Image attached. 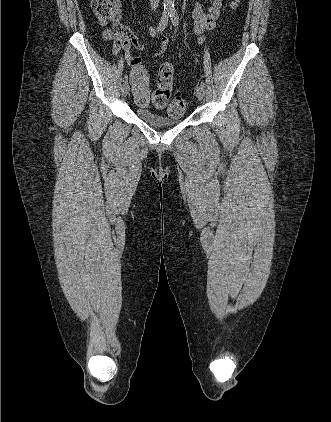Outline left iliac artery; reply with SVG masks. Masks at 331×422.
<instances>
[{
  "instance_id": "44dca946",
  "label": "left iliac artery",
  "mask_w": 331,
  "mask_h": 422,
  "mask_svg": "<svg viewBox=\"0 0 331 422\" xmlns=\"http://www.w3.org/2000/svg\"><path fill=\"white\" fill-rule=\"evenodd\" d=\"M170 18H171V22L172 24L177 27L179 25V18H178V14L175 10H172L170 12ZM200 87L201 88H205V83L203 81L200 82Z\"/></svg>"
}]
</instances>
